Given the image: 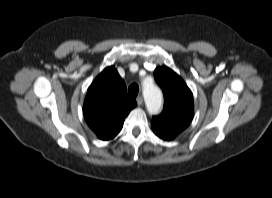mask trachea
Returning a JSON list of instances; mask_svg holds the SVG:
<instances>
[{
    "label": "trachea",
    "mask_w": 272,
    "mask_h": 198,
    "mask_svg": "<svg viewBox=\"0 0 272 198\" xmlns=\"http://www.w3.org/2000/svg\"><path fill=\"white\" fill-rule=\"evenodd\" d=\"M138 92L139 86L136 83H133L128 87V93L130 96L136 97L138 95Z\"/></svg>",
    "instance_id": "3493384b"
}]
</instances>
